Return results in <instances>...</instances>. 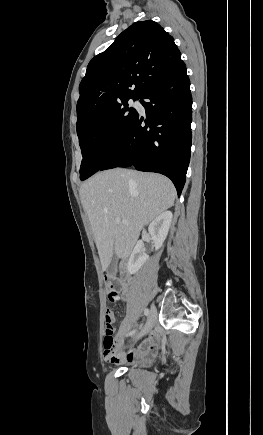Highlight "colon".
I'll use <instances>...</instances> for the list:
<instances>
[{
  "mask_svg": "<svg viewBox=\"0 0 263 435\" xmlns=\"http://www.w3.org/2000/svg\"><path fill=\"white\" fill-rule=\"evenodd\" d=\"M106 284L109 288V294L108 297L112 302H119L121 300V295L117 290V286L115 281L112 278H106ZM105 336H104V343L103 348L104 350H114L115 343H114V337H113V323L111 321V318L107 315L105 319Z\"/></svg>",
  "mask_w": 263,
  "mask_h": 435,
  "instance_id": "1",
  "label": "colon"
}]
</instances>
